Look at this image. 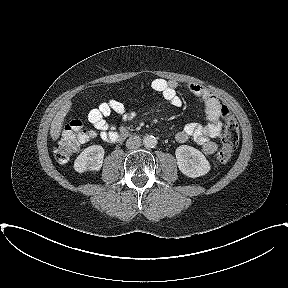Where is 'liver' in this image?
<instances>
[{"instance_id":"obj_1","label":"liver","mask_w":288,"mask_h":288,"mask_svg":"<svg viewBox=\"0 0 288 288\" xmlns=\"http://www.w3.org/2000/svg\"><path fill=\"white\" fill-rule=\"evenodd\" d=\"M70 108H71V102L67 101L61 107V109L56 113V115H55V117L51 123L50 135L54 141H56L60 136V133H61L62 127H63L64 119L66 117V114L69 112Z\"/></svg>"}]
</instances>
